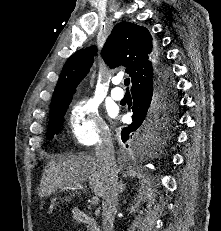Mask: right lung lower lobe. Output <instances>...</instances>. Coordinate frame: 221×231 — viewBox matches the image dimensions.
<instances>
[{"label": "right lung lower lobe", "mask_w": 221, "mask_h": 231, "mask_svg": "<svg viewBox=\"0 0 221 231\" xmlns=\"http://www.w3.org/2000/svg\"><path fill=\"white\" fill-rule=\"evenodd\" d=\"M133 97L132 120L133 122L123 128L121 133L122 141L125 142L136 138L138 147L142 152L150 153L154 145L143 137L141 128L145 123L151 108L158 102L165 99H176L175 86L169 64L162 54L157 58V75L153 82L137 87L131 91ZM128 147V145H126Z\"/></svg>", "instance_id": "obj_1"}]
</instances>
